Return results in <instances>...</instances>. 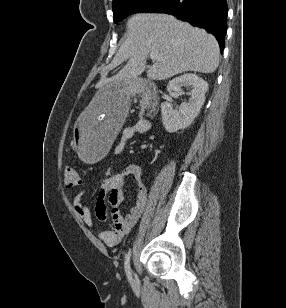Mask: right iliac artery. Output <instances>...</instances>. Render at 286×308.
I'll list each match as a JSON object with an SVG mask.
<instances>
[{"mask_svg": "<svg viewBox=\"0 0 286 308\" xmlns=\"http://www.w3.org/2000/svg\"><path fill=\"white\" fill-rule=\"evenodd\" d=\"M130 257H131V250H129V252L127 253L125 257V262H124L125 272H126V275L129 281L132 280V274H131V268H130Z\"/></svg>", "mask_w": 286, "mask_h": 308, "instance_id": "82829eb1", "label": "right iliac artery"}]
</instances>
